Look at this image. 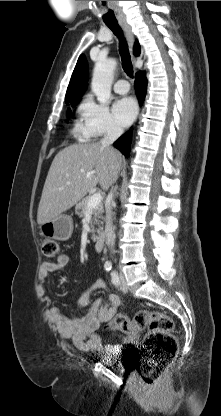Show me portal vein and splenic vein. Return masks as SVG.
<instances>
[{
	"label": "portal vein and splenic vein",
	"mask_w": 221,
	"mask_h": 416,
	"mask_svg": "<svg viewBox=\"0 0 221 416\" xmlns=\"http://www.w3.org/2000/svg\"><path fill=\"white\" fill-rule=\"evenodd\" d=\"M102 195L100 193H94L90 199L88 200L87 203V209L91 210L93 208H95L97 205H99L102 201Z\"/></svg>",
	"instance_id": "portal-vein-and-splenic-vein-1"
}]
</instances>
